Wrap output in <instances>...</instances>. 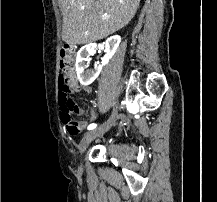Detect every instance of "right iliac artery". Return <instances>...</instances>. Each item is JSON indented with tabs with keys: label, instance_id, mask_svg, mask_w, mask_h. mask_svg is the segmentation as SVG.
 Masks as SVG:
<instances>
[{
	"label": "right iliac artery",
	"instance_id": "obj_1",
	"mask_svg": "<svg viewBox=\"0 0 217 202\" xmlns=\"http://www.w3.org/2000/svg\"><path fill=\"white\" fill-rule=\"evenodd\" d=\"M97 127V125L95 123H92L88 126V130H93Z\"/></svg>",
	"mask_w": 217,
	"mask_h": 202
}]
</instances>
